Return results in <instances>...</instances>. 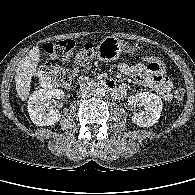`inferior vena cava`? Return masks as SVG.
<instances>
[{
	"label": "inferior vena cava",
	"mask_w": 195,
	"mask_h": 195,
	"mask_svg": "<svg viewBox=\"0 0 195 195\" xmlns=\"http://www.w3.org/2000/svg\"><path fill=\"white\" fill-rule=\"evenodd\" d=\"M93 95H94V92L91 88L85 87V88L81 89V92H80L81 98L87 99Z\"/></svg>",
	"instance_id": "1"
}]
</instances>
